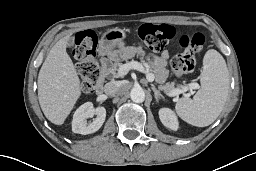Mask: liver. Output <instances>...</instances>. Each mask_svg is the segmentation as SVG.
I'll return each mask as SVG.
<instances>
[{
  "label": "liver",
  "instance_id": "1",
  "mask_svg": "<svg viewBox=\"0 0 256 171\" xmlns=\"http://www.w3.org/2000/svg\"><path fill=\"white\" fill-rule=\"evenodd\" d=\"M65 36L51 48L38 75V99L46 118L62 125L81 96L80 79L66 52Z\"/></svg>",
  "mask_w": 256,
  "mask_h": 171
}]
</instances>
